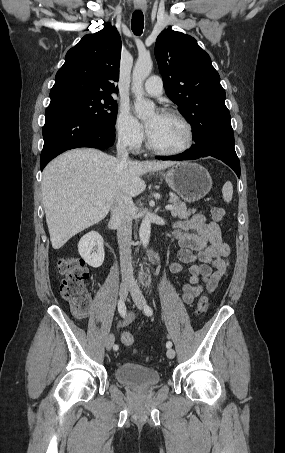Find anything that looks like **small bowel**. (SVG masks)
Masks as SVG:
<instances>
[{"label":"small bowel","mask_w":285,"mask_h":453,"mask_svg":"<svg viewBox=\"0 0 285 453\" xmlns=\"http://www.w3.org/2000/svg\"><path fill=\"white\" fill-rule=\"evenodd\" d=\"M174 234L180 248L178 262L170 265V271L178 274L184 265H189L190 275L183 285L182 300L191 304L202 291L213 292L227 275L230 248L222 239L219 225L207 222L202 214L176 222ZM135 317V313L128 312L119 325L127 326Z\"/></svg>","instance_id":"1"}]
</instances>
